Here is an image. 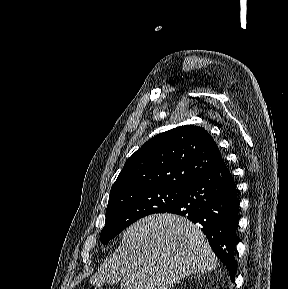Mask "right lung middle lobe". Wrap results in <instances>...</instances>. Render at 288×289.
Listing matches in <instances>:
<instances>
[{"mask_svg":"<svg viewBox=\"0 0 288 289\" xmlns=\"http://www.w3.org/2000/svg\"><path fill=\"white\" fill-rule=\"evenodd\" d=\"M184 192V188L159 187L132 189L111 195L105 226L100 234L102 244H107L123 229L144 216L167 212L182 198Z\"/></svg>","mask_w":288,"mask_h":289,"instance_id":"right-lung-middle-lobe-1","label":"right lung middle lobe"}]
</instances>
